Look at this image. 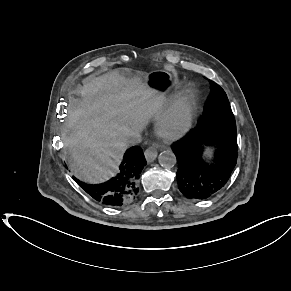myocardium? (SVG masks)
I'll return each mask as SVG.
<instances>
[{
    "label": "myocardium",
    "instance_id": "1",
    "mask_svg": "<svg viewBox=\"0 0 291 291\" xmlns=\"http://www.w3.org/2000/svg\"><path fill=\"white\" fill-rule=\"evenodd\" d=\"M194 98V89L185 87L157 119L156 130L162 139L175 141L191 130L195 118Z\"/></svg>",
    "mask_w": 291,
    "mask_h": 291
}]
</instances>
